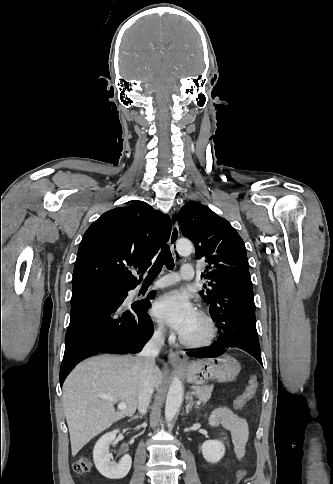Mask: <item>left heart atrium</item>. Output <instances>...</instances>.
<instances>
[{
	"mask_svg": "<svg viewBox=\"0 0 333 484\" xmlns=\"http://www.w3.org/2000/svg\"><path fill=\"white\" fill-rule=\"evenodd\" d=\"M152 314L157 320L182 334L197 316V310L188 294L175 290L155 301Z\"/></svg>",
	"mask_w": 333,
	"mask_h": 484,
	"instance_id": "obj_1",
	"label": "left heart atrium"
}]
</instances>
